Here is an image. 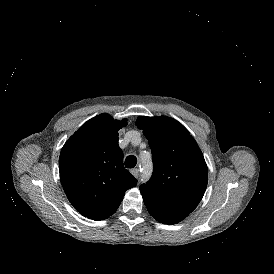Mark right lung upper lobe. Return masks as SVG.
<instances>
[{"mask_svg": "<svg viewBox=\"0 0 274 274\" xmlns=\"http://www.w3.org/2000/svg\"><path fill=\"white\" fill-rule=\"evenodd\" d=\"M127 120L100 114L82 125L63 146L60 180L71 204L85 217L103 220L118 209L137 180L123 166L118 130Z\"/></svg>", "mask_w": 274, "mask_h": 274, "instance_id": "right-lung-upper-lobe-1", "label": "right lung upper lobe"}]
</instances>
